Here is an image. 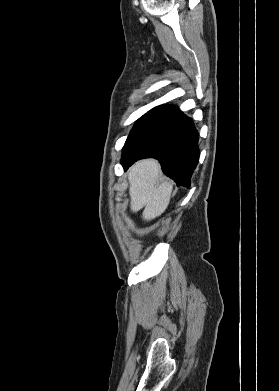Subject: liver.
I'll return each instance as SVG.
<instances>
[{
  "instance_id": "6515ba94",
  "label": "liver",
  "mask_w": 279,
  "mask_h": 391,
  "mask_svg": "<svg viewBox=\"0 0 279 391\" xmlns=\"http://www.w3.org/2000/svg\"><path fill=\"white\" fill-rule=\"evenodd\" d=\"M160 176V164L154 159L137 162L128 173L131 210L144 208L143 219L147 221L160 216L169 205L173 185L170 181L159 183Z\"/></svg>"
}]
</instances>
